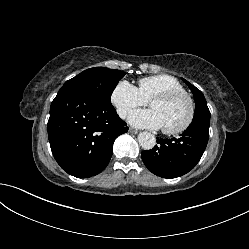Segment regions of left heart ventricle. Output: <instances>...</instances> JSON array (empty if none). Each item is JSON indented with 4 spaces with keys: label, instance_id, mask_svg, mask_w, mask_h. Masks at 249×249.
Wrapping results in <instances>:
<instances>
[{
    "label": "left heart ventricle",
    "instance_id": "obj_1",
    "mask_svg": "<svg viewBox=\"0 0 249 249\" xmlns=\"http://www.w3.org/2000/svg\"><path fill=\"white\" fill-rule=\"evenodd\" d=\"M150 108L155 111L161 122L162 128L174 129L181 126L188 116V103L184 98L170 102H152Z\"/></svg>",
    "mask_w": 249,
    "mask_h": 249
}]
</instances>
